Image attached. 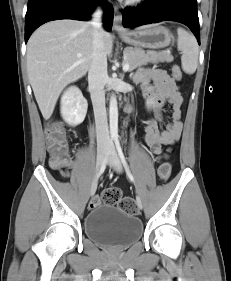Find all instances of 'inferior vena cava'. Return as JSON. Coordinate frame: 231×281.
I'll list each match as a JSON object with an SVG mask.
<instances>
[{
	"instance_id": "1",
	"label": "inferior vena cava",
	"mask_w": 231,
	"mask_h": 281,
	"mask_svg": "<svg viewBox=\"0 0 231 281\" xmlns=\"http://www.w3.org/2000/svg\"><path fill=\"white\" fill-rule=\"evenodd\" d=\"M92 27L93 53L88 72V83L93 104L97 145L106 148L109 143V131L105 108V91L107 75V57L104 51V30L102 29V10L97 8L89 22Z\"/></svg>"
}]
</instances>
